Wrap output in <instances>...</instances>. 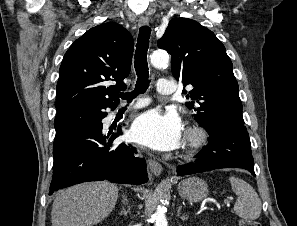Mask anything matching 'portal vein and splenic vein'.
Returning <instances> with one entry per match:
<instances>
[{
	"label": "portal vein and splenic vein",
	"instance_id": "portal-vein-and-splenic-vein-1",
	"mask_svg": "<svg viewBox=\"0 0 297 226\" xmlns=\"http://www.w3.org/2000/svg\"><path fill=\"white\" fill-rule=\"evenodd\" d=\"M232 200H233V199H230V200L226 199V200H224V203L227 204V205H230V202H231Z\"/></svg>",
	"mask_w": 297,
	"mask_h": 226
}]
</instances>
